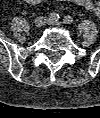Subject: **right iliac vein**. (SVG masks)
Masks as SVG:
<instances>
[{
    "instance_id": "1",
    "label": "right iliac vein",
    "mask_w": 100,
    "mask_h": 118,
    "mask_svg": "<svg viewBox=\"0 0 100 118\" xmlns=\"http://www.w3.org/2000/svg\"><path fill=\"white\" fill-rule=\"evenodd\" d=\"M47 22L46 17H37L34 21L36 27H42Z\"/></svg>"
}]
</instances>
